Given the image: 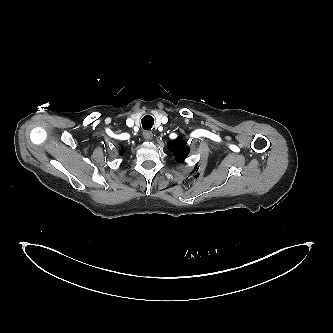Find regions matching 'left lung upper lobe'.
<instances>
[{"label": "left lung upper lobe", "mask_w": 333, "mask_h": 333, "mask_svg": "<svg viewBox=\"0 0 333 333\" xmlns=\"http://www.w3.org/2000/svg\"><path fill=\"white\" fill-rule=\"evenodd\" d=\"M168 148H169V150H173L174 152H176V157L178 159H180L181 161L186 157V155L189 152V148H187L186 146H183L180 139H178L177 141L168 143Z\"/></svg>", "instance_id": "1"}]
</instances>
